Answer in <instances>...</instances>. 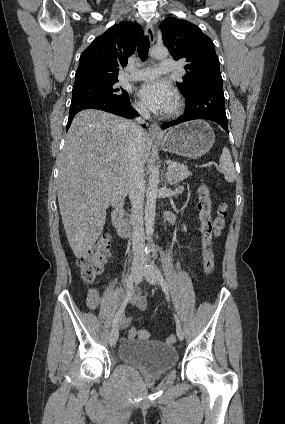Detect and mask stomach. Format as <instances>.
<instances>
[{"mask_svg": "<svg viewBox=\"0 0 285 424\" xmlns=\"http://www.w3.org/2000/svg\"><path fill=\"white\" fill-rule=\"evenodd\" d=\"M156 140L167 152L195 159L212 148L215 134L207 122L196 120L173 127Z\"/></svg>", "mask_w": 285, "mask_h": 424, "instance_id": "stomach-1", "label": "stomach"}]
</instances>
